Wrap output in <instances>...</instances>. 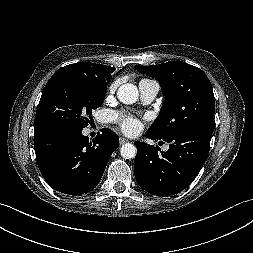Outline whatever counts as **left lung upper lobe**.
<instances>
[{"instance_id":"5c2ea615","label":"left lung upper lobe","mask_w":253,"mask_h":253,"mask_svg":"<svg viewBox=\"0 0 253 253\" xmlns=\"http://www.w3.org/2000/svg\"><path fill=\"white\" fill-rule=\"evenodd\" d=\"M135 69L155 78L165 96L159 116L148 132L168 138L194 129L214 130L215 98L201 69L182 61L135 65Z\"/></svg>"}]
</instances>
